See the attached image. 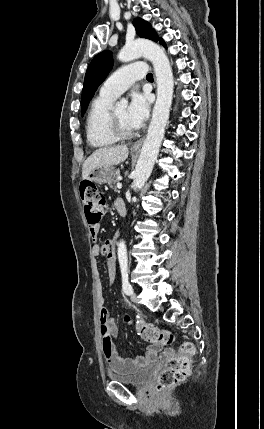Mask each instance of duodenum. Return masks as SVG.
Wrapping results in <instances>:
<instances>
[{
  "label": "duodenum",
  "instance_id": "1",
  "mask_svg": "<svg viewBox=\"0 0 264 429\" xmlns=\"http://www.w3.org/2000/svg\"><path fill=\"white\" fill-rule=\"evenodd\" d=\"M116 210L120 216H125L127 213L126 206L123 202L117 204ZM113 260H116L115 254L113 255Z\"/></svg>",
  "mask_w": 264,
  "mask_h": 429
}]
</instances>
